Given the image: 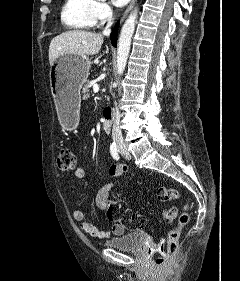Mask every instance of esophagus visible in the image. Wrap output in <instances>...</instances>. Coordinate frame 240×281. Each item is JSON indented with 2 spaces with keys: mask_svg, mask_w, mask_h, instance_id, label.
Masks as SVG:
<instances>
[{
  "mask_svg": "<svg viewBox=\"0 0 240 281\" xmlns=\"http://www.w3.org/2000/svg\"><path fill=\"white\" fill-rule=\"evenodd\" d=\"M137 0H131L130 4L128 5L127 9L125 10V12L123 13V16L121 17V22L126 18V16L128 15V13L133 9V7L135 6Z\"/></svg>",
  "mask_w": 240,
  "mask_h": 281,
  "instance_id": "34e87169",
  "label": "esophagus"
}]
</instances>
